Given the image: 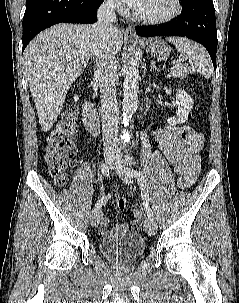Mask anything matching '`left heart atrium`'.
<instances>
[{"label": "left heart atrium", "mask_w": 239, "mask_h": 303, "mask_svg": "<svg viewBox=\"0 0 239 303\" xmlns=\"http://www.w3.org/2000/svg\"><path fill=\"white\" fill-rule=\"evenodd\" d=\"M123 1L137 11L139 8L142 7V5L146 0H123Z\"/></svg>", "instance_id": "1"}]
</instances>
